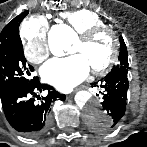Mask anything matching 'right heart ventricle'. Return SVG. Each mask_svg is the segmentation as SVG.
<instances>
[{"label":"right heart ventricle","mask_w":147,"mask_h":147,"mask_svg":"<svg viewBox=\"0 0 147 147\" xmlns=\"http://www.w3.org/2000/svg\"><path fill=\"white\" fill-rule=\"evenodd\" d=\"M61 18L79 35L93 28L105 26L97 13L87 9L64 13Z\"/></svg>","instance_id":"e07e8e85"}]
</instances>
